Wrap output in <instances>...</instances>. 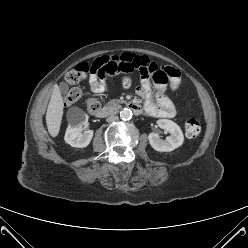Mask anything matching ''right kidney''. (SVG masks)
I'll use <instances>...</instances> for the list:
<instances>
[{
    "label": "right kidney",
    "mask_w": 248,
    "mask_h": 248,
    "mask_svg": "<svg viewBox=\"0 0 248 248\" xmlns=\"http://www.w3.org/2000/svg\"><path fill=\"white\" fill-rule=\"evenodd\" d=\"M87 121V114L79 108H71L68 112L69 125L64 136L65 142L77 148L88 146L92 140L94 131L87 130L83 134L80 133L82 124Z\"/></svg>",
    "instance_id": "obj_1"
}]
</instances>
